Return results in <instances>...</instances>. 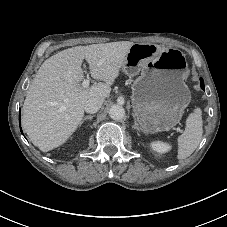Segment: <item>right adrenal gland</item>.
Returning a JSON list of instances; mask_svg holds the SVG:
<instances>
[{"mask_svg":"<svg viewBox=\"0 0 227 227\" xmlns=\"http://www.w3.org/2000/svg\"><path fill=\"white\" fill-rule=\"evenodd\" d=\"M93 117H94V115H87V116H85L83 118L81 124H83L86 120H90L91 121L93 119Z\"/></svg>","mask_w":227,"mask_h":227,"instance_id":"1","label":"right adrenal gland"}]
</instances>
